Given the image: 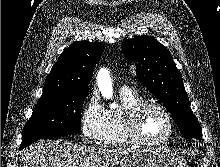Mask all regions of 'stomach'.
Listing matches in <instances>:
<instances>
[{"instance_id":"stomach-1","label":"stomach","mask_w":220,"mask_h":167,"mask_svg":"<svg viewBox=\"0 0 220 167\" xmlns=\"http://www.w3.org/2000/svg\"><path fill=\"white\" fill-rule=\"evenodd\" d=\"M119 167H188V164L183 157L165 147L132 148L120 160Z\"/></svg>"}]
</instances>
